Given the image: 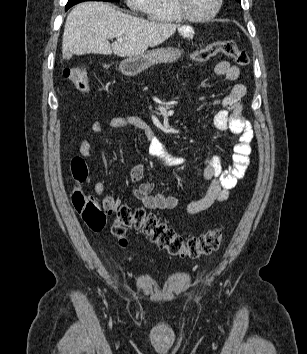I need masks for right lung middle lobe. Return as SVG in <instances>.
Here are the masks:
<instances>
[{"label": "right lung middle lobe", "instance_id": "1", "mask_svg": "<svg viewBox=\"0 0 307 354\" xmlns=\"http://www.w3.org/2000/svg\"><path fill=\"white\" fill-rule=\"evenodd\" d=\"M83 1H107V2H117L119 0H68V3L66 4L65 9H69L70 7H72L73 5L83 2Z\"/></svg>", "mask_w": 307, "mask_h": 354}]
</instances>
